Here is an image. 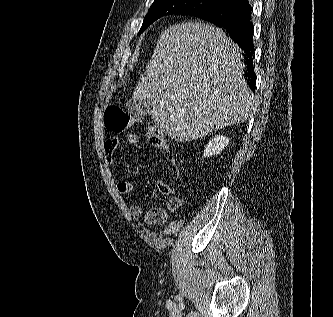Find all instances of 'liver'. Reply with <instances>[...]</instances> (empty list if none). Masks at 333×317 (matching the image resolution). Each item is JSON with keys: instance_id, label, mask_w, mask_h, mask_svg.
<instances>
[{"instance_id": "obj_1", "label": "liver", "mask_w": 333, "mask_h": 317, "mask_svg": "<svg viewBox=\"0 0 333 317\" xmlns=\"http://www.w3.org/2000/svg\"><path fill=\"white\" fill-rule=\"evenodd\" d=\"M243 68L240 48L221 29L175 24L161 33L132 100L149 103L152 120L173 140L190 142L255 111Z\"/></svg>"}]
</instances>
